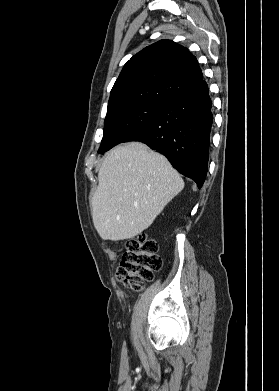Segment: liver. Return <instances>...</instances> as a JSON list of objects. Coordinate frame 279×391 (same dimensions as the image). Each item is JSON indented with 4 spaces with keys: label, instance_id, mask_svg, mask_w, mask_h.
<instances>
[{
    "label": "liver",
    "instance_id": "6515ba94",
    "mask_svg": "<svg viewBox=\"0 0 279 391\" xmlns=\"http://www.w3.org/2000/svg\"><path fill=\"white\" fill-rule=\"evenodd\" d=\"M98 181L92 219L100 237L112 241L142 233L184 188L169 161L140 142L114 148L99 169Z\"/></svg>",
    "mask_w": 279,
    "mask_h": 391
}]
</instances>
